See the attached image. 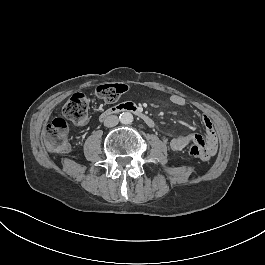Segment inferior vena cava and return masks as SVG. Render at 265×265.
Listing matches in <instances>:
<instances>
[{"label": "inferior vena cava", "instance_id": "1", "mask_svg": "<svg viewBox=\"0 0 265 265\" xmlns=\"http://www.w3.org/2000/svg\"><path fill=\"white\" fill-rule=\"evenodd\" d=\"M119 123V118L117 116H108L104 121L105 127H114Z\"/></svg>", "mask_w": 265, "mask_h": 265}]
</instances>
